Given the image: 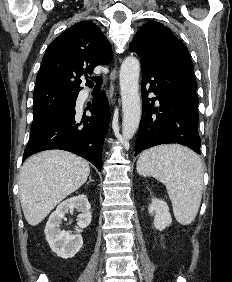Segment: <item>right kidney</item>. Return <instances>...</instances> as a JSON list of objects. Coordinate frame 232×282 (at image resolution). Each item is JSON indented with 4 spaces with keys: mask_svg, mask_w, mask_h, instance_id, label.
Wrapping results in <instances>:
<instances>
[{
    "mask_svg": "<svg viewBox=\"0 0 232 282\" xmlns=\"http://www.w3.org/2000/svg\"><path fill=\"white\" fill-rule=\"evenodd\" d=\"M74 209L80 212L78 216V226L80 228H86L92 218L90 212L91 206L87 197L81 194L60 203L56 210L50 215L44 230L46 240L51 250L56 253L57 256L64 259L74 257L83 246L81 234H70L60 229V224L65 214Z\"/></svg>",
    "mask_w": 232,
    "mask_h": 282,
    "instance_id": "ca27d5eb",
    "label": "right kidney"
}]
</instances>
